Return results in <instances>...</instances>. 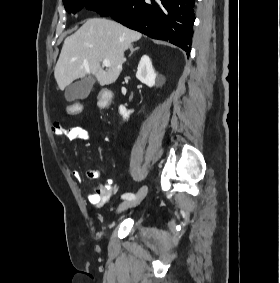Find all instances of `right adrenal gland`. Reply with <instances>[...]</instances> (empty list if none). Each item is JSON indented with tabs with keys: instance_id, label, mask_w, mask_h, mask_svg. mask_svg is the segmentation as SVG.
I'll return each mask as SVG.
<instances>
[{
	"instance_id": "1",
	"label": "right adrenal gland",
	"mask_w": 280,
	"mask_h": 283,
	"mask_svg": "<svg viewBox=\"0 0 280 283\" xmlns=\"http://www.w3.org/2000/svg\"><path fill=\"white\" fill-rule=\"evenodd\" d=\"M138 49H139V47L133 48V46H131V47H130L131 53H130L129 56H131V55L134 53V51H136V50H138Z\"/></svg>"
}]
</instances>
